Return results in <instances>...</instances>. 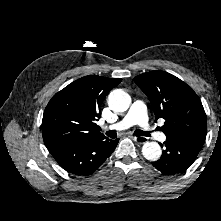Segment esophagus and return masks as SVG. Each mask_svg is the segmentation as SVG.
Returning <instances> with one entry per match:
<instances>
[{
    "mask_svg": "<svg viewBox=\"0 0 221 221\" xmlns=\"http://www.w3.org/2000/svg\"><path fill=\"white\" fill-rule=\"evenodd\" d=\"M133 139L138 144H144L147 142L148 138L144 136H133Z\"/></svg>",
    "mask_w": 221,
    "mask_h": 221,
    "instance_id": "obj_1",
    "label": "esophagus"
}]
</instances>
